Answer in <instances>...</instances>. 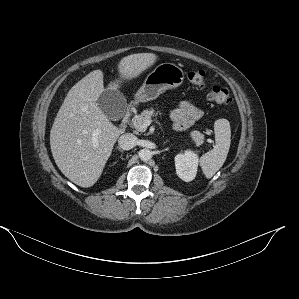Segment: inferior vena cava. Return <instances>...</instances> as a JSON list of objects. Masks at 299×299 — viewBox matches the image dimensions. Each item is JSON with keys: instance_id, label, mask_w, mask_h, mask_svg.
<instances>
[{"instance_id": "obj_1", "label": "inferior vena cava", "mask_w": 299, "mask_h": 299, "mask_svg": "<svg viewBox=\"0 0 299 299\" xmlns=\"http://www.w3.org/2000/svg\"><path fill=\"white\" fill-rule=\"evenodd\" d=\"M137 137L132 133H125L118 139L119 147L123 150H130L136 146Z\"/></svg>"}]
</instances>
